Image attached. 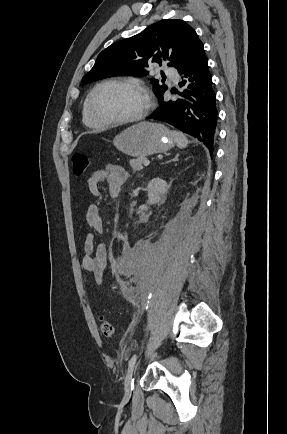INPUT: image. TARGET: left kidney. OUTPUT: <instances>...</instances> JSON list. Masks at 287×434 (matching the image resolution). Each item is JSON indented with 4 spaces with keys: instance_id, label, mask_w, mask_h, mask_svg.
<instances>
[{
    "instance_id": "5707ae66",
    "label": "left kidney",
    "mask_w": 287,
    "mask_h": 434,
    "mask_svg": "<svg viewBox=\"0 0 287 434\" xmlns=\"http://www.w3.org/2000/svg\"><path fill=\"white\" fill-rule=\"evenodd\" d=\"M147 190H148V203L156 204L162 199V196L167 193L168 185L164 180L160 178H155L149 181Z\"/></svg>"
}]
</instances>
